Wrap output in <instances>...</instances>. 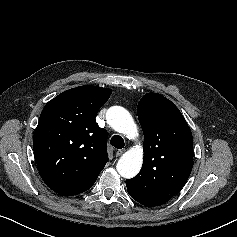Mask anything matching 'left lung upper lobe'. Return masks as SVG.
Instances as JSON below:
<instances>
[{"label": "left lung upper lobe", "mask_w": 237, "mask_h": 237, "mask_svg": "<svg viewBox=\"0 0 237 237\" xmlns=\"http://www.w3.org/2000/svg\"><path fill=\"white\" fill-rule=\"evenodd\" d=\"M144 134L141 171L126 180L128 193L146 207L164 204L184 186L193 167L190 127L173 102L145 94L137 106Z\"/></svg>", "instance_id": "1"}]
</instances>
